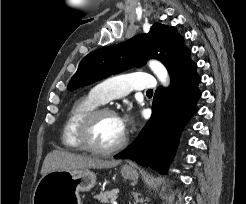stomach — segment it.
<instances>
[{
    "instance_id": "obj_1",
    "label": "stomach",
    "mask_w": 246,
    "mask_h": 204,
    "mask_svg": "<svg viewBox=\"0 0 246 204\" xmlns=\"http://www.w3.org/2000/svg\"><path fill=\"white\" fill-rule=\"evenodd\" d=\"M124 179L137 181L133 167L121 169ZM96 184V174L89 169L56 170L44 175L36 185L33 204H80L79 193L90 191Z\"/></svg>"
}]
</instances>
